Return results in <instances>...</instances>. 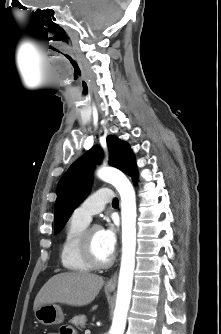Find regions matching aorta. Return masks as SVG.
I'll list each match as a JSON object with an SVG mask.
<instances>
[{
	"mask_svg": "<svg viewBox=\"0 0 221 334\" xmlns=\"http://www.w3.org/2000/svg\"><path fill=\"white\" fill-rule=\"evenodd\" d=\"M97 176L111 183L121 197L122 258L118 279L116 306L109 334H124L130 307L136 251V198L127 177L119 170L103 167Z\"/></svg>",
	"mask_w": 221,
	"mask_h": 334,
	"instance_id": "obj_1",
	"label": "aorta"
}]
</instances>
